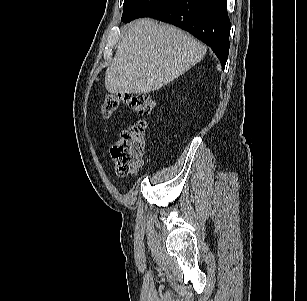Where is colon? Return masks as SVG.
Segmentation results:
<instances>
[{
	"instance_id": "5ec220e1",
	"label": "colon",
	"mask_w": 307,
	"mask_h": 301,
	"mask_svg": "<svg viewBox=\"0 0 307 301\" xmlns=\"http://www.w3.org/2000/svg\"><path fill=\"white\" fill-rule=\"evenodd\" d=\"M122 103L140 115H149L155 107V100L149 93H109L101 106L102 117H112ZM145 146L144 122L131 125L117 136L111 154L119 176L136 175L141 171Z\"/></svg>"
}]
</instances>
